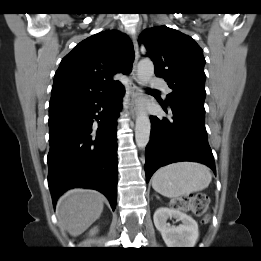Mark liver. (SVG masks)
<instances>
[{"mask_svg":"<svg viewBox=\"0 0 261 261\" xmlns=\"http://www.w3.org/2000/svg\"><path fill=\"white\" fill-rule=\"evenodd\" d=\"M104 196L94 190L74 189L65 193L57 203L60 225L71 236H79L101 215Z\"/></svg>","mask_w":261,"mask_h":261,"instance_id":"1","label":"liver"}]
</instances>
